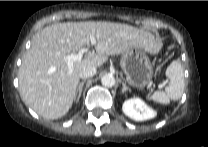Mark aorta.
Instances as JSON below:
<instances>
[{
	"instance_id": "762f6f07",
	"label": "aorta",
	"mask_w": 208,
	"mask_h": 147,
	"mask_svg": "<svg viewBox=\"0 0 208 147\" xmlns=\"http://www.w3.org/2000/svg\"><path fill=\"white\" fill-rule=\"evenodd\" d=\"M101 83L102 85L106 86V87H112L115 85V78L112 75H104L101 78Z\"/></svg>"
}]
</instances>
